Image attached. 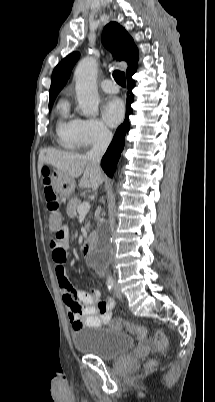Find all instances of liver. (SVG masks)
Wrapping results in <instances>:
<instances>
[{"mask_svg":"<svg viewBox=\"0 0 215 402\" xmlns=\"http://www.w3.org/2000/svg\"><path fill=\"white\" fill-rule=\"evenodd\" d=\"M44 164L52 165L73 179L82 175L79 183L81 188H91L96 191L103 182L101 170L92 165L85 155L56 149H43L40 151L38 159L39 175H41V168Z\"/></svg>","mask_w":215,"mask_h":402,"instance_id":"6515ba94","label":"liver"}]
</instances>
